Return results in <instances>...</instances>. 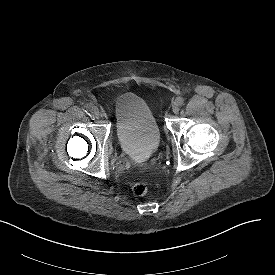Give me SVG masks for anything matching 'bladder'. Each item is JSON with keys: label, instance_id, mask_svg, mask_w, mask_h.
<instances>
[{"label": "bladder", "instance_id": "bladder-1", "mask_svg": "<svg viewBox=\"0 0 275 275\" xmlns=\"http://www.w3.org/2000/svg\"><path fill=\"white\" fill-rule=\"evenodd\" d=\"M114 114L122 152L137 161L147 160L159 147L160 131L146 101L135 93H122L115 100Z\"/></svg>", "mask_w": 275, "mask_h": 275}]
</instances>
